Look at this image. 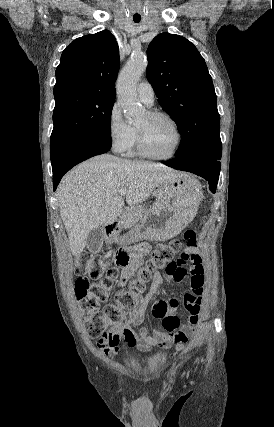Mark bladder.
Listing matches in <instances>:
<instances>
[{
    "mask_svg": "<svg viewBox=\"0 0 274 427\" xmlns=\"http://www.w3.org/2000/svg\"><path fill=\"white\" fill-rule=\"evenodd\" d=\"M147 359L143 354L136 353L132 355H127L125 358V363H132V362H146Z\"/></svg>",
    "mask_w": 274,
    "mask_h": 427,
    "instance_id": "1",
    "label": "bladder"
}]
</instances>
